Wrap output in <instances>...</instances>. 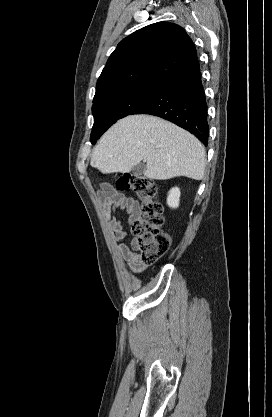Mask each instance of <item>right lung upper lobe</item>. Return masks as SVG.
<instances>
[{
	"label": "right lung upper lobe",
	"mask_w": 272,
	"mask_h": 417,
	"mask_svg": "<svg viewBox=\"0 0 272 417\" xmlns=\"http://www.w3.org/2000/svg\"><path fill=\"white\" fill-rule=\"evenodd\" d=\"M196 59L195 46L182 27L170 22L148 25L123 39L110 55L93 101L130 87L161 85Z\"/></svg>",
	"instance_id": "1"
}]
</instances>
